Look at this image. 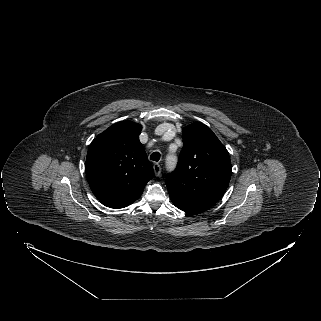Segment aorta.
<instances>
[{"label": "aorta", "instance_id": "1", "mask_svg": "<svg viewBox=\"0 0 321 321\" xmlns=\"http://www.w3.org/2000/svg\"><path fill=\"white\" fill-rule=\"evenodd\" d=\"M166 164L167 168L172 170L176 165V156L168 155L166 159Z\"/></svg>", "mask_w": 321, "mask_h": 321}]
</instances>
